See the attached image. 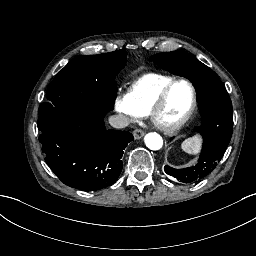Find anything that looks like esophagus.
<instances>
[{"mask_svg": "<svg viewBox=\"0 0 256 256\" xmlns=\"http://www.w3.org/2000/svg\"><path fill=\"white\" fill-rule=\"evenodd\" d=\"M133 135H134V138H135V139H140V138H142V137L145 135V133H144V131L141 130V129H135V130L133 131Z\"/></svg>", "mask_w": 256, "mask_h": 256, "instance_id": "34e87169", "label": "esophagus"}]
</instances>
